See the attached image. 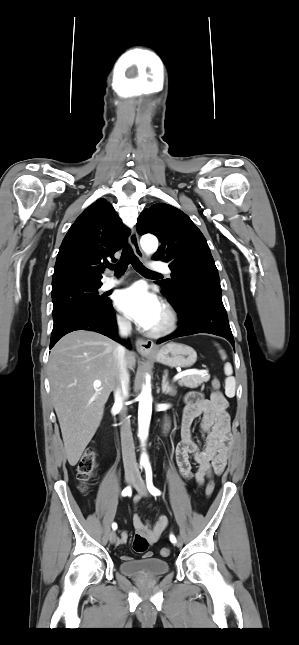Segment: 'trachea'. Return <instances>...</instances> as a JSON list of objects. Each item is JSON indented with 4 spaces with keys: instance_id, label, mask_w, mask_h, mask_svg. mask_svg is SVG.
Masks as SVG:
<instances>
[{
    "instance_id": "obj_1",
    "label": "trachea",
    "mask_w": 299,
    "mask_h": 645,
    "mask_svg": "<svg viewBox=\"0 0 299 645\" xmlns=\"http://www.w3.org/2000/svg\"><path fill=\"white\" fill-rule=\"evenodd\" d=\"M131 263L133 268L140 274L142 275H158L157 272H153L149 269H147L141 262L140 260L134 255L133 250L131 249L130 246H125L123 248L120 260L118 261L117 264H108L106 267H108L110 270H114L115 274L120 276L122 275L128 265Z\"/></svg>"
}]
</instances>
